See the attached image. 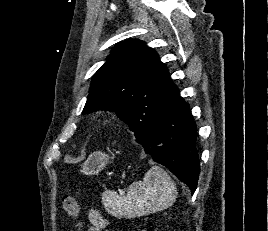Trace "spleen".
Masks as SVG:
<instances>
[{"mask_svg": "<svg viewBox=\"0 0 268 231\" xmlns=\"http://www.w3.org/2000/svg\"><path fill=\"white\" fill-rule=\"evenodd\" d=\"M177 188L166 171L152 166L143 181L130 185L127 194L106 190L102 203L112 216L134 218L170 207L177 198Z\"/></svg>", "mask_w": 268, "mask_h": 231, "instance_id": "3e777b00", "label": "spleen"}]
</instances>
